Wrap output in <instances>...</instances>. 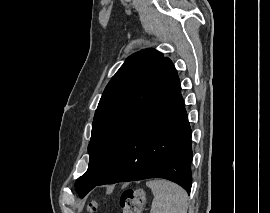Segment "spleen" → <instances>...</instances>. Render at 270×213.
Masks as SVG:
<instances>
[{
  "label": "spleen",
  "instance_id": "1",
  "mask_svg": "<svg viewBox=\"0 0 270 213\" xmlns=\"http://www.w3.org/2000/svg\"><path fill=\"white\" fill-rule=\"evenodd\" d=\"M154 199L150 213H187L188 196L179 185L166 180H149Z\"/></svg>",
  "mask_w": 270,
  "mask_h": 213
}]
</instances>
